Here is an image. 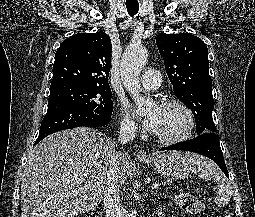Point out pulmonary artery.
Returning <instances> with one entry per match:
<instances>
[{
  "label": "pulmonary artery",
  "mask_w": 255,
  "mask_h": 217,
  "mask_svg": "<svg viewBox=\"0 0 255 217\" xmlns=\"http://www.w3.org/2000/svg\"><path fill=\"white\" fill-rule=\"evenodd\" d=\"M140 84L145 91L157 90L161 84L160 73L155 69L145 71L141 77Z\"/></svg>",
  "instance_id": "e3ab8cb5"
}]
</instances>
